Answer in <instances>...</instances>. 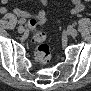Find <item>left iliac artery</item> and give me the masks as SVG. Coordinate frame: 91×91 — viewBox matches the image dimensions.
<instances>
[{"label": "left iliac artery", "instance_id": "obj_1", "mask_svg": "<svg viewBox=\"0 0 91 91\" xmlns=\"http://www.w3.org/2000/svg\"><path fill=\"white\" fill-rule=\"evenodd\" d=\"M78 27V23L77 22H74L73 24H70L69 25V28L70 29H75V28H77Z\"/></svg>", "mask_w": 91, "mask_h": 91}]
</instances>
